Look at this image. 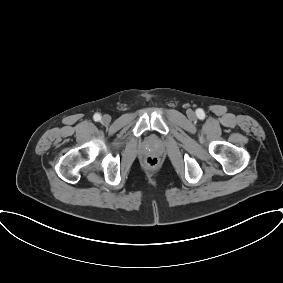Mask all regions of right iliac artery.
Wrapping results in <instances>:
<instances>
[{"mask_svg": "<svg viewBox=\"0 0 283 283\" xmlns=\"http://www.w3.org/2000/svg\"><path fill=\"white\" fill-rule=\"evenodd\" d=\"M93 119H94L95 121H100V120H101L100 114L96 113V114L93 116Z\"/></svg>", "mask_w": 283, "mask_h": 283, "instance_id": "1", "label": "right iliac artery"}]
</instances>
